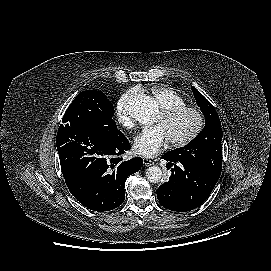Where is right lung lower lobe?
<instances>
[{
    "mask_svg": "<svg viewBox=\"0 0 271 271\" xmlns=\"http://www.w3.org/2000/svg\"><path fill=\"white\" fill-rule=\"evenodd\" d=\"M56 144L65 183L83 206L102 212L123 203L125 181L140 170L143 160L117 157L130 147L121 131L66 123L59 127Z\"/></svg>",
    "mask_w": 271,
    "mask_h": 271,
    "instance_id": "98d812e1",
    "label": "right lung lower lobe"
}]
</instances>
